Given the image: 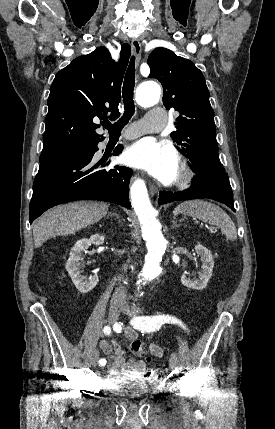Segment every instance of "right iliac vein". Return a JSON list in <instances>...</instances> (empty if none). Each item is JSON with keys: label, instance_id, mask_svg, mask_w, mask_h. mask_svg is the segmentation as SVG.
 I'll use <instances>...</instances> for the list:
<instances>
[{"label": "right iliac vein", "instance_id": "right-iliac-vein-1", "mask_svg": "<svg viewBox=\"0 0 275 429\" xmlns=\"http://www.w3.org/2000/svg\"><path fill=\"white\" fill-rule=\"evenodd\" d=\"M121 310H122V305L120 303H112L110 305L109 315H108L109 323L113 324L117 321ZM98 359H99V352H98V350H95L93 352L92 358H91L92 366H94V367L97 366Z\"/></svg>", "mask_w": 275, "mask_h": 429}]
</instances>
